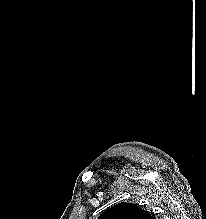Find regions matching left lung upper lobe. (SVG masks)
<instances>
[{"instance_id": "left-lung-upper-lobe-1", "label": "left lung upper lobe", "mask_w": 206, "mask_h": 219, "mask_svg": "<svg viewBox=\"0 0 206 219\" xmlns=\"http://www.w3.org/2000/svg\"><path fill=\"white\" fill-rule=\"evenodd\" d=\"M98 219H152V215L136 204L122 202L105 210Z\"/></svg>"}]
</instances>
